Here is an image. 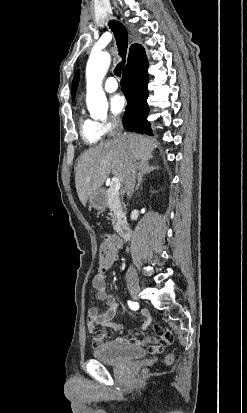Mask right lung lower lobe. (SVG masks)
Returning <instances> with one entry per match:
<instances>
[{
	"label": "right lung lower lobe",
	"mask_w": 247,
	"mask_h": 413,
	"mask_svg": "<svg viewBox=\"0 0 247 413\" xmlns=\"http://www.w3.org/2000/svg\"><path fill=\"white\" fill-rule=\"evenodd\" d=\"M149 76L147 69L135 75H125L121 80V89L128 103L122 120L123 126L130 132L152 135L147 115Z\"/></svg>",
	"instance_id": "1"
}]
</instances>
